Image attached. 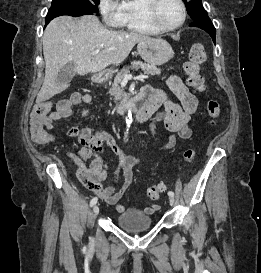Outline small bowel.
<instances>
[{
	"label": "small bowel",
	"instance_id": "c3829d8e",
	"mask_svg": "<svg viewBox=\"0 0 261 273\" xmlns=\"http://www.w3.org/2000/svg\"><path fill=\"white\" fill-rule=\"evenodd\" d=\"M168 88L173 93L175 99L171 98L167 93L154 90L152 86L145 85L142 88L147 95L152 97L155 104V110L159 106H164V111L156 112L149 130L153 133L155 126L159 122H163L170 136L168 142L162 147L165 150L172 149L176 144V137L189 139L192 136V130L188 126L191 116L198 107L197 97L189 91L183 80L179 76H170L165 81ZM92 96L89 93L76 94L70 101H63L70 108L80 102L90 103ZM83 115L87 112L84 110ZM58 111L50 113L45 122V127L49 131L54 129V122L62 119ZM71 137L77 138L81 145L79 151L68 153L69 157L77 166V173L80 182L99 198L110 205H114L119 213L125 212V207L119 204L120 198L130 187L133 181L132 168L140 163V159L127 155L118 146L115 138L107 131L100 128H82L71 127L68 130ZM104 146H107L118 158V166L114 172V180L118 181L120 175L123 176V183L119 188L115 186H103L108 176L109 160L105 153ZM91 160L89 166L86 165L87 160ZM159 205L153 204L144 209V212L151 214L158 210Z\"/></svg>",
	"mask_w": 261,
	"mask_h": 273
}]
</instances>
